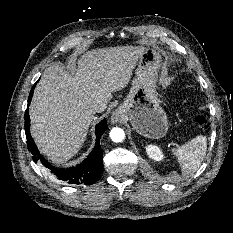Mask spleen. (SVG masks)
<instances>
[{
	"mask_svg": "<svg viewBox=\"0 0 233 233\" xmlns=\"http://www.w3.org/2000/svg\"><path fill=\"white\" fill-rule=\"evenodd\" d=\"M207 151V139L199 135L178 148L171 150L177 158L184 177L193 175L200 167Z\"/></svg>",
	"mask_w": 233,
	"mask_h": 233,
	"instance_id": "spleen-1",
	"label": "spleen"
}]
</instances>
